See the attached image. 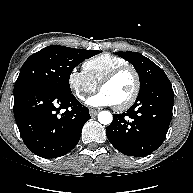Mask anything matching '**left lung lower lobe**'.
<instances>
[{
  "mask_svg": "<svg viewBox=\"0 0 193 193\" xmlns=\"http://www.w3.org/2000/svg\"><path fill=\"white\" fill-rule=\"evenodd\" d=\"M174 92L167 77L138 95L134 105L114 114L106 128L110 143L128 156L144 157L163 143L172 118Z\"/></svg>",
  "mask_w": 193,
  "mask_h": 193,
  "instance_id": "1",
  "label": "left lung lower lobe"
}]
</instances>
